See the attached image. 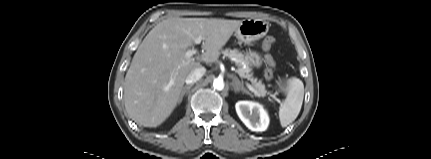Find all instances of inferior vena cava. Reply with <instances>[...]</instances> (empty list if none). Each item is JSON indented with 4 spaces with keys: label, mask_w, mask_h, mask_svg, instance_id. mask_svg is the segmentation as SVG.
Listing matches in <instances>:
<instances>
[{
    "label": "inferior vena cava",
    "mask_w": 431,
    "mask_h": 159,
    "mask_svg": "<svg viewBox=\"0 0 431 159\" xmlns=\"http://www.w3.org/2000/svg\"><path fill=\"white\" fill-rule=\"evenodd\" d=\"M206 69L204 67H200L192 71L186 78V84H194L205 74Z\"/></svg>",
    "instance_id": "1"
}]
</instances>
